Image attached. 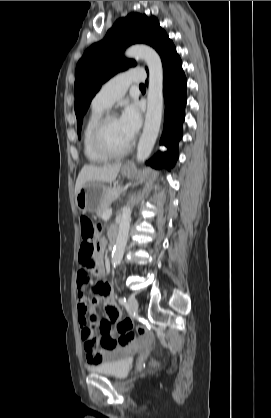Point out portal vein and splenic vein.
Returning <instances> with one entry per match:
<instances>
[{
    "label": "portal vein and splenic vein",
    "mask_w": 271,
    "mask_h": 418,
    "mask_svg": "<svg viewBox=\"0 0 271 418\" xmlns=\"http://www.w3.org/2000/svg\"><path fill=\"white\" fill-rule=\"evenodd\" d=\"M112 215V209H108L105 213H104V215H103V219L105 220V219H109L110 218V216Z\"/></svg>",
    "instance_id": "18ae733b"
}]
</instances>
